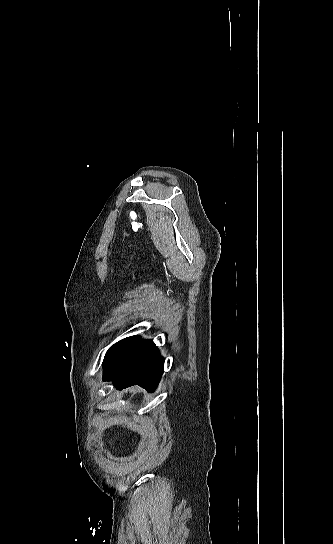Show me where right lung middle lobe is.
Masks as SVG:
<instances>
[{"mask_svg": "<svg viewBox=\"0 0 333 544\" xmlns=\"http://www.w3.org/2000/svg\"><path fill=\"white\" fill-rule=\"evenodd\" d=\"M140 337L138 336H131L127 337L125 339L120 340L119 342L115 343L106 353L104 362L105 364L107 361H109L112 357L123 351L125 348H127L130 344L135 342Z\"/></svg>", "mask_w": 333, "mask_h": 544, "instance_id": "dd1d6c3e", "label": "right lung middle lobe"}]
</instances>
